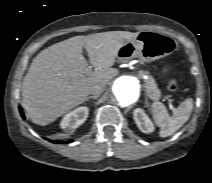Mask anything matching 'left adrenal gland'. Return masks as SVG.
Masks as SVG:
<instances>
[{
    "instance_id": "left-adrenal-gland-1",
    "label": "left adrenal gland",
    "mask_w": 212,
    "mask_h": 183,
    "mask_svg": "<svg viewBox=\"0 0 212 183\" xmlns=\"http://www.w3.org/2000/svg\"><path fill=\"white\" fill-rule=\"evenodd\" d=\"M149 103H148V99L147 97H145V105L147 106Z\"/></svg>"
}]
</instances>
